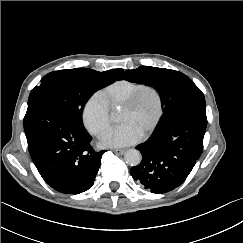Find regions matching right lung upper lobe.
Segmentation results:
<instances>
[{
	"label": "right lung upper lobe",
	"mask_w": 243,
	"mask_h": 243,
	"mask_svg": "<svg viewBox=\"0 0 243 243\" xmlns=\"http://www.w3.org/2000/svg\"><path fill=\"white\" fill-rule=\"evenodd\" d=\"M123 72V69H115V70H108L104 72H100L101 74H104L106 76H110L113 78L114 81L119 77V75Z\"/></svg>",
	"instance_id": "obj_1"
}]
</instances>
